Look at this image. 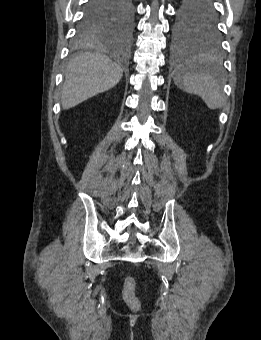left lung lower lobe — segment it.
Listing matches in <instances>:
<instances>
[{"label": "left lung lower lobe", "mask_w": 261, "mask_h": 340, "mask_svg": "<svg viewBox=\"0 0 261 340\" xmlns=\"http://www.w3.org/2000/svg\"><path fill=\"white\" fill-rule=\"evenodd\" d=\"M204 3L207 5H213V0H205Z\"/></svg>", "instance_id": "obj_1"}]
</instances>
